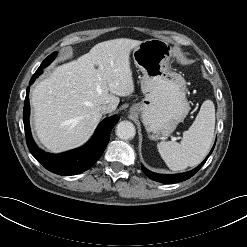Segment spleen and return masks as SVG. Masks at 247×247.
I'll use <instances>...</instances> for the list:
<instances>
[{"label":"spleen","mask_w":247,"mask_h":247,"mask_svg":"<svg viewBox=\"0 0 247 247\" xmlns=\"http://www.w3.org/2000/svg\"><path fill=\"white\" fill-rule=\"evenodd\" d=\"M214 129L215 107L211 100H206L193 124L183 132L181 142L162 141L157 144L158 152L172 171L196 166L209 152Z\"/></svg>","instance_id":"spleen-1"}]
</instances>
